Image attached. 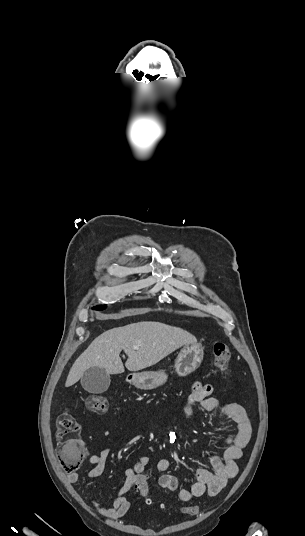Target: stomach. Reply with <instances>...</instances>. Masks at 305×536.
Listing matches in <instances>:
<instances>
[{
	"label": "stomach",
	"instance_id": "0dacf381",
	"mask_svg": "<svg viewBox=\"0 0 305 536\" xmlns=\"http://www.w3.org/2000/svg\"><path fill=\"white\" fill-rule=\"evenodd\" d=\"M202 360L203 348L201 344H185L175 360V372L178 376H188L199 368ZM167 378L164 370H160V372L129 374L127 382L133 384L135 388H140V390H154L158 386H163L167 382Z\"/></svg>",
	"mask_w": 305,
	"mask_h": 536
}]
</instances>
